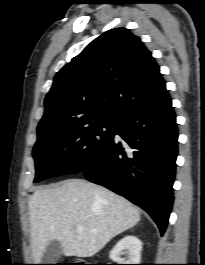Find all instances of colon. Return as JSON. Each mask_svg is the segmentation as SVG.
<instances>
[{
    "label": "colon",
    "mask_w": 205,
    "mask_h": 265,
    "mask_svg": "<svg viewBox=\"0 0 205 265\" xmlns=\"http://www.w3.org/2000/svg\"><path fill=\"white\" fill-rule=\"evenodd\" d=\"M56 265H64V264H56ZM69 265H87V264H69Z\"/></svg>",
    "instance_id": "5ec220e1"
}]
</instances>
